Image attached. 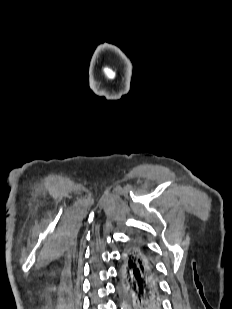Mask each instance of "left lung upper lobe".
Returning a JSON list of instances; mask_svg holds the SVG:
<instances>
[{"label":"left lung upper lobe","mask_w":232,"mask_h":309,"mask_svg":"<svg viewBox=\"0 0 232 309\" xmlns=\"http://www.w3.org/2000/svg\"><path fill=\"white\" fill-rule=\"evenodd\" d=\"M140 244H141V243H140ZM144 247H145V246H144ZM123 292H124V294H125L127 303H128L131 307H133L132 299H131V297H130L128 291H123Z\"/></svg>","instance_id":"obj_1"}]
</instances>
